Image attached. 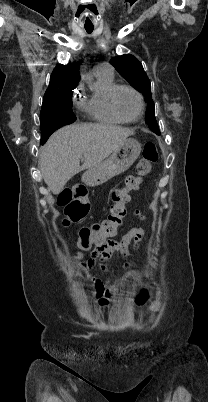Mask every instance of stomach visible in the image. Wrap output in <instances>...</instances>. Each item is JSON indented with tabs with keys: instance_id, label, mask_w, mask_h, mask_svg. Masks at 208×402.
Masks as SVG:
<instances>
[{
	"instance_id": "stomach-1",
	"label": "stomach",
	"mask_w": 208,
	"mask_h": 402,
	"mask_svg": "<svg viewBox=\"0 0 208 402\" xmlns=\"http://www.w3.org/2000/svg\"><path fill=\"white\" fill-rule=\"evenodd\" d=\"M141 144L133 138H128L124 144H121L118 150L113 152L110 158L97 164L94 168H89L85 174L82 176V182L86 186H100V184H105L114 176H119L123 174L125 170H129L138 156H140Z\"/></svg>"
}]
</instances>
